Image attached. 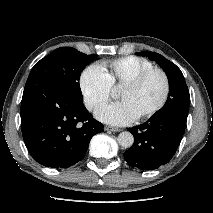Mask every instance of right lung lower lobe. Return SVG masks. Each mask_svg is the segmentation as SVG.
Returning a JSON list of instances; mask_svg holds the SVG:
<instances>
[{
	"mask_svg": "<svg viewBox=\"0 0 213 213\" xmlns=\"http://www.w3.org/2000/svg\"><path fill=\"white\" fill-rule=\"evenodd\" d=\"M21 126L31 156L51 168H67L79 162L91 138L103 131V125L93 119L83 103L46 83L25 86Z\"/></svg>",
	"mask_w": 213,
	"mask_h": 213,
	"instance_id": "98d812e1",
	"label": "right lung lower lobe"
}]
</instances>
